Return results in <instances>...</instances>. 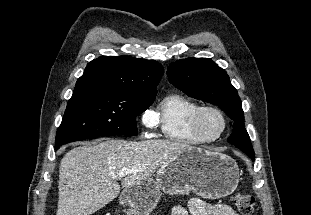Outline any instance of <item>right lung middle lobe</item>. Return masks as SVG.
Listing matches in <instances>:
<instances>
[{
  "mask_svg": "<svg viewBox=\"0 0 311 215\" xmlns=\"http://www.w3.org/2000/svg\"><path fill=\"white\" fill-rule=\"evenodd\" d=\"M155 96H138L96 88L75 89L58 128L55 144L107 135H137L135 117Z\"/></svg>",
  "mask_w": 311,
  "mask_h": 215,
  "instance_id": "obj_1",
  "label": "right lung middle lobe"
}]
</instances>
